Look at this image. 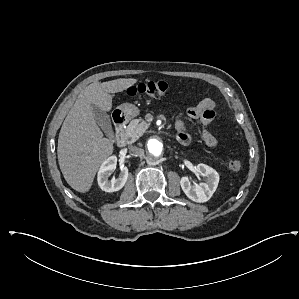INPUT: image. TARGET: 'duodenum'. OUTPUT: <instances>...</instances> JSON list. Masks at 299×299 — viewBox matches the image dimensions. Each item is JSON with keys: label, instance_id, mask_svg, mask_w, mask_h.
I'll return each mask as SVG.
<instances>
[{"label": "duodenum", "instance_id": "duodenum-1", "mask_svg": "<svg viewBox=\"0 0 299 299\" xmlns=\"http://www.w3.org/2000/svg\"><path fill=\"white\" fill-rule=\"evenodd\" d=\"M112 120L116 128V142L119 147H124L126 144L125 137L123 135V129L126 124V117L124 113L116 110L112 113Z\"/></svg>", "mask_w": 299, "mask_h": 299}]
</instances>
